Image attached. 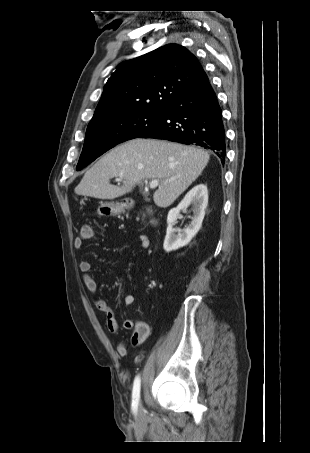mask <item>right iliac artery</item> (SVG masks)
Listing matches in <instances>:
<instances>
[{"instance_id":"1","label":"right iliac artery","mask_w":310,"mask_h":453,"mask_svg":"<svg viewBox=\"0 0 310 453\" xmlns=\"http://www.w3.org/2000/svg\"><path fill=\"white\" fill-rule=\"evenodd\" d=\"M139 400H140V377L137 376L134 380L132 390V410L134 412L137 411Z\"/></svg>"}]
</instances>
